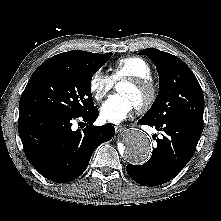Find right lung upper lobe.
<instances>
[{
	"instance_id": "right-lung-upper-lobe-1",
	"label": "right lung upper lobe",
	"mask_w": 221,
	"mask_h": 221,
	"mask_svg": "<svg viewBox=\"0 0 221 221\" xmlns=\"http://www.w3.org/2000/svg\"><path fill=\"white\" fill-rule=\"evenodd\" d=\"M97 55V53L85 51H68L57 54L47 59L45 62L66 65H88L96 58Z\"/></svg>"
}]
</instances>
